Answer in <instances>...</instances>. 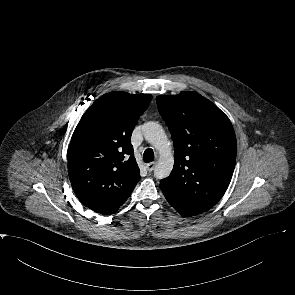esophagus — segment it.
Returning a JSON list of instances; mask_svg holds the SVG:
<instances>
[{"instance_id":"34e87169","label":"esophagus","mask_w":295,"mask_h":295,"mask_svg":"<svg viewBox=\"0 0 295 295\" xmlns=\"http://www.w3.org/2000/svg\"><path fill=\"white\" fill-rule=\"evenodd\" d=\"M155 166H156V162H150V163L146 164V168L149 172H152L154 170Z\"/></svg>"}]
</instances>
